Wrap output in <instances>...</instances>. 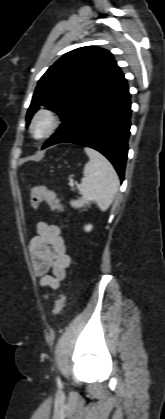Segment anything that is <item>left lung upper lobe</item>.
<instances>
[{
  "mask_svg": "<svg viewBox=\"0 0 165 419\" xmlns=\"http://www.w3.org/2000/svg\"><path fill=\"white\" fill-rule=\"evenodd\" d=\"M121 73L105 49L87 46L68 52L39 80L27 112V125L40 105L51 107L65 122Z\"/></svg>",
  "mask_w": 165,
  "mask_h": 419,
  "instance_id": "1",
  "label": "left lung upper lobe"
}]
</instances>
